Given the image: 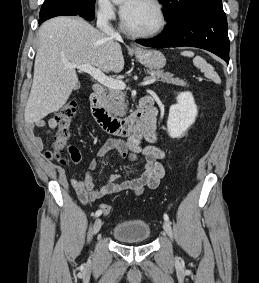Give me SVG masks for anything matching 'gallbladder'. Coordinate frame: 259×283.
<instances>
[{
  "instance_id": "obj_1",
  "label": "gallbladder",
  "mask_w": 259,
  "mask_h": 283,
  "mask_svg": "<svg viewBox=\"0 0 259 283\" xmlns=\"http://www.w3.org/2000/svg\"><path fill=\"white\" fill-rule=\"evenodd\" d=\"M78 88H79V85H76L74 89H78Z\"/></svg>"
}]
</instances>
